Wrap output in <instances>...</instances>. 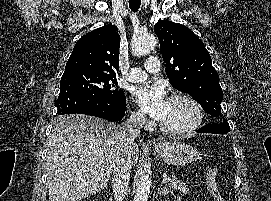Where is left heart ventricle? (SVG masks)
I'll return each mask as SVG.
<instances>
[{"label":"left heart ventricle","mask_w":271,"mask_h":201,"mask_svg":"<svg viewBox=\"0 0 271 201\" xmlns=\"http://www.w3.org/2000/svg\"><path fill=\"white\" fill-rule=\"evenodd\" d=\"M193 111L189 105L180 100H169L165 117L161 123L171 129H180L193 121Z\"/></svg>","instance_id":"obj_1"}]
</instances>
